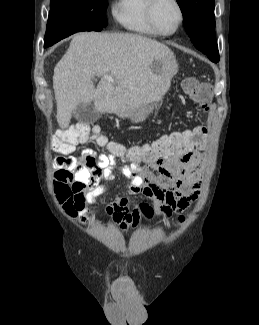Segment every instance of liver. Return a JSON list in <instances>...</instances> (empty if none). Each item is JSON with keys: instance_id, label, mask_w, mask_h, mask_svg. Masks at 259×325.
Masks as SVG:
<instances>
[{"instance_id": "obj_1", "label": "liver", "mask_w": 259, "mask_h": 325, "mask_svg": "<svg viewBox=\"0 0 259 325\" xmlns=\"http://www.w3.org/2000/svg\"><path fill=\"white\" fill-rule=\"evenodd\" d=\"M177 71L174 53L143 35L78 33L54 68L57 122L67 128L76 106L92 101L95 111L102 114L159 101L169 88L166 77ZM96 76L101 77L97 87Z\"/></svg>"}]
</instances>
